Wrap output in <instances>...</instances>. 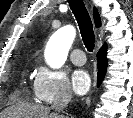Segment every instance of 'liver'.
Returning a JSON list of instances; mask_svg holds the SVG:
<instances>
[{
  "mask_svg": "<svg viewBox=\"0 0 133 118\" xmlns=\"http://www.w3.org/2000/svg\"><path fill=\"white\" fill-rule=\"evenodd\" d=\"M50 109L42 105L17 104L4 110L0 118H55Z\"/></svg>",
  "mask_w": 133,
  "mask_h": 118,
  "instance_id": "1",
  "label": "liver"
}]
</instances>
